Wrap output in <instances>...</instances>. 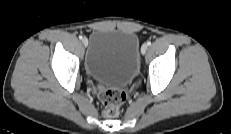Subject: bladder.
<instances>
[{"mask_svg":"<svg viewBox=\"0 0 231 134\" xmlns=\"http://www.w3.org/2000/svg\"><path fill=\"white\" fill-rule=\"evenodd\" d=\"M84 59L86 74L107 87H127L139 67L138 36L127 30L97 29L90 35Z\"/></svg>","mask_w":231,"mask_h":134,"instance_id":"bladder-1","label":"bladder"}]
</instances>
